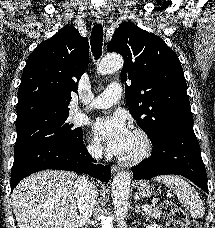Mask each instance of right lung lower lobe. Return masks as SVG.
Wrapping results in <instances>:
<instances>
[{
    "label": "right lung lower lobe",
    "instance_id": "98d812e1",
    "mask_svg": "<svg viewBox=\"0 0 215 228\" xmlns=\"http://www.w3.org/2000/svg\"><path fill=\"white\" fill-rule=\"evenodd\" d=\"M92 162L95 161L87 153L83 142L48 140L27 145L14 151L11 191L24 177L46 169L85 173L102 182H108L111 178L110 167Z\"/></svg>",
    "mask_w": 215,
    "mask_h": 228
}]
</instances>
